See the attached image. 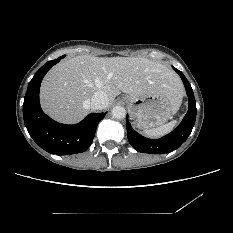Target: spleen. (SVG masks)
<instances>
[{"instance_id":"obj_1","label":"spleen","mask_w":233,"mask_h":233,"mask_svg":"<svg viewBox=\"0 0 233 233\" xmlns=\"http://www.w3.org/2000/svg\"><path fill=\"white\" fill-rule=\"evenodd\" d=\"M177 121L173 120L167 124H164L162 126H159L157 128H153V129H144L143 133L150 137V138H158L161 136L166 135L167 133L171 132L174 127L176 126Z\"/></svg>"}]
</instances>
